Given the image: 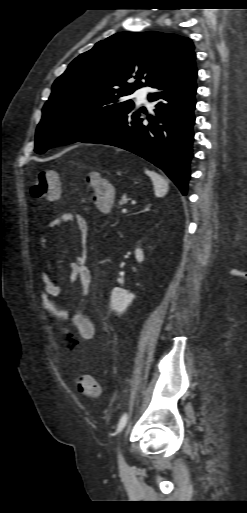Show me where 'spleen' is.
Returning a JSON list of instances; mask_svg holds the SVG:
<instances>
[{
    "label": "spleen",
    "instance_id": "3e777b00",
    "mask_svg": "<svg viewBox=\"0 0 247 513\" xmlns=\"http://www.w3.org/2000/svg\"><path fill=\"white\" fill-rule=\"evenodd\" d=\"M146 174L150 176L153 182L155 196L158 198L164 197L169 190V182L156 172L146 170Z\"/></svg>",
    "mask_w": 247,
    "mask_h": 513
}]
</instances>
